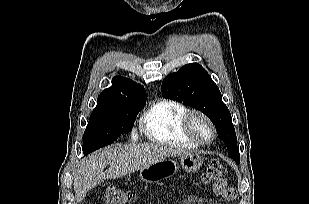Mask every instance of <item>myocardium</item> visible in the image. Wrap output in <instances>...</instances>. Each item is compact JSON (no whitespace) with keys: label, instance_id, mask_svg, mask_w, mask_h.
<instances>
[{"label":"myocardium","instance_id":"myocardium-1","mask_svg":"<svg viewBox=\"0 0 309 204\" xmlns=\"http://www.w3.org/2000/svg\"><path fill=\"white\" fill-rule=\"evenodd\" d=\"M195 117H200L202 118L209 126L210 131H211V137L209 140L207 141H203L201 139H199L192 128V121ZM182 128L183 131L185 132L186 136L196 145L199 146H206L211 144L214 139L216 138V128L213 124V122L211 121V119L202 111L200 110H196V109H192V110H188L182 120Z\"/></svg>","mask_w":309,"mask_h":204}]
</instances>
